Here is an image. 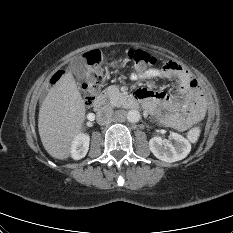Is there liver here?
I'll use <instances>...</instances> for the list:
<instances>
[{
  "label": "liver",
  "mask_w": 233,
  "mask_h": 233,
  "mask_svg": "<svg viewBox=\"0 0 233 233\" xmlns=\"http://www.w3.org/2000/svg\"><path fill=\"white\" fill-rule=\"evenodd\" d=\"M85 113V102L71 72H67L49 90L39 110V135L49 155L60 160L69 158Z\"/></svg>",
  "instance_id": "1"
}]
</instances>
